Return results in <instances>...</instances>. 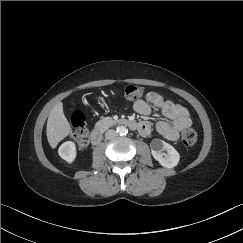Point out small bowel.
<instances>
[{
	"label": "small bowel",
	"instance_id": "obj_1",
	"mask_svg": "<svg viewBox=\"0 0 243 243\" xmlns=\"http://www.w3.org/2000/svg\"><path fill=\"white\" fill-rule=\"evenodd\" d=\"M152 107L158 108L168 119H161L155 125L157 133L167 140H177L180 132L192 124L189 112L185 107L165 99L158 92L150 91L144 98L133 103V109L144 116L151 113ZM138 131L142 136L148 137L152 133V124L149 121L139 122Z\"/></svg>",
	"mask_w": 243,
	"mask_h": 243
}]
</instances>
